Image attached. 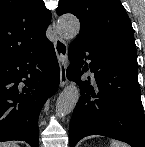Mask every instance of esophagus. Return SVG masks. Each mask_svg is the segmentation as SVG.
<instances>
[{"instance_id": "1", "label": "esophagus", "mask_w": 145, "mask_h": 147, "mask_svg": "<svg viewBox=\"0 0 145 147\" xmlns=\"http://www.w3.org/2000/svg\"><path fill=\"white\" fill-rule=\"evenodd\" d=\"M53 44L60 68V86L67 83L68 47L65 41L58 35L55 22H52Z\"/></svg>"}]
</instances>
